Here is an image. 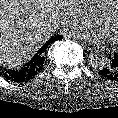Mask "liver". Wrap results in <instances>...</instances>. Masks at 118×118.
I'll return each mask as SVG.
<instances>
[{
    "label": "liver",
    "instance_id": "liver-1",
    "mask_svg": "<svg viewBox=\"0 0 118 118\" xmlns=\"http://www.w3.org/2000/svg\"><path fill=\"white\" fill-rule=\"evenodd\" d=\"M59 0H0V65L25 62L58 28Z\"/></svg>",
    "mask_w": 118,
    "mask_h": 118
}]
</instances>
